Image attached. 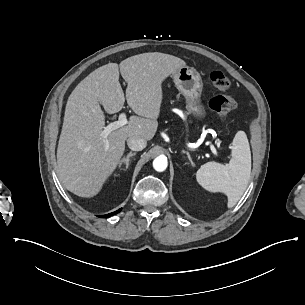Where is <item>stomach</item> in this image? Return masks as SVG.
Returning <instances> with one entry per match:
<instances>
[{
    "mask_svg": "<svg viewBox=\"0 0 305 305\" xmlns=\"http://www.w3.org/2000/svg\"><path fill=\"white\" fill-rule=\"evenodd\" d=\"M177 89L185 98L190 114L197 120L206 117V108L201 101L203 81L200 74L193 68L184 67L174 75Z\"/></svg>",
    "mask_w": 305,
    "mask_h": 305,
    "instance_id": "1",
    "label": "stomach"
}]
</instances>
